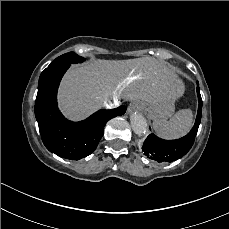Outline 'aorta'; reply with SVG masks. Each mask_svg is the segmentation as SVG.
Returning <instances> with one entry per match:
<instances>
[{
	"instance_id": "aorta-1",
	"label": "aorta",
	"mask_w": 229,
	"mask_h": 229,
	"mask_svg": "<svg viewBox=\"0 0 229 229\" xmlns=\"http://www.w3.org/2000/svg\"><path fill=\"white\" fill-rule=\"evenodd\" d=\"M131 127L135 134L142 136L147 132L148 124L145 117L140 113H133L130 116Z\"/></svg>"
}]
</instances>
